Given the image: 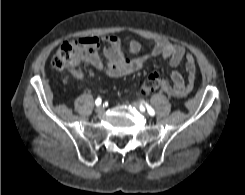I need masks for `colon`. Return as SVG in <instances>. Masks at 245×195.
Instances as JSON below:
<instances>
[{"instance_id":"1","label":"colon","mask_w":245,"mask_h":195,"mask_svg":"<svg viewBox=\"0 0 245 195\" xmlns=\"http://www.w3.org/2000/svg\"><path fill=\"white\" fill-rule=\"evenodd\" d=\"M83 52L82 45L77 42L63 43L52 58V68L57 72L69 70L79 75L80 66L84 60ZM162 81L155 73L148 75L141 84L142 93L150 94L157 91L161 88Z\"/></svg>"}]
</instances>
